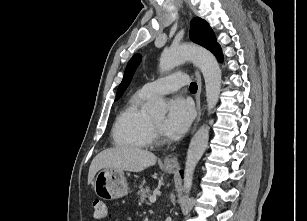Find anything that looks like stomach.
<instances>
[{
	"mask_svg": "<svg viewBox=\"0 0 307 221\" xmlns=\"http://www.w3.org/2000/svg\"><path fill=\"white\" fill-rule=\"evenodd\" d=\"M171 173L173 169L166 168ZM93 187L96 195L104 200H112L128 193V184L122 170L103 169L96 175Z\"/></svg>",
	"mask_w": 307,
	"mask_h": 221,
	"instance_id": "stomach-1",
	"label": "stomach"
}]
</instances>
